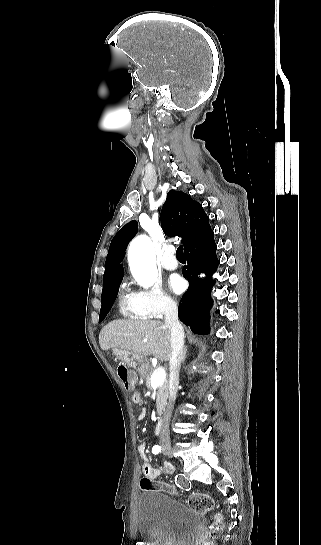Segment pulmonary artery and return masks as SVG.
<instances>
[{
    "label": "pulmonary artery",
    "instance_id": "1",
    "mask_svg": "<svg viewBox=\"0 0 321 545\" xmlns=\"http://www.w3.org/2000/svg\"><path fill=\"white\" fill-rule=\"evenodd\" d=\"M163 260H161L160 264L161 266L166 269V270H175L178 268V261L177 260H169L170 258V253L169 252H164L163 253Z\"/></svg>",
    "mask_w": 321,
    "mask_h": 545
}]
</instances>
